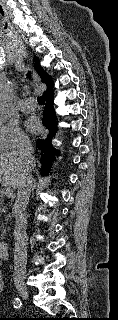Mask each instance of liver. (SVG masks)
<instances>
[{
    "label": "liver",
    "mask_w": 118,
    "mask_h": 320,
    "mask_svg": "<svg viewBox=\"0 0 118 320\" xmlns=\"http://www.w3.org/2000/svg\"><path fill=\"white\" fill-rule=\"evenodd\" d=\"M23 169L24 164L17 152L0 153V183L2 185L18 188Z\"/></svg>",
    "instance_id": "6515ba94"
}]
</instances>
